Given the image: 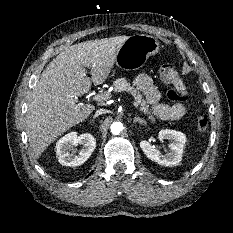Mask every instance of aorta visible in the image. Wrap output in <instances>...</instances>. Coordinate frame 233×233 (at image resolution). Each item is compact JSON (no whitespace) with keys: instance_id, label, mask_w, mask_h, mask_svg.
<instances>
[{"instance_id":"762f6f07","label":"aorta","mask_w":233,"mask_h":233,"mask_svg":"<svg viewBox=\"0 0 233 233\" xmlns=\"http://www.w3.org/2000/svg\"><path fill=\"white\" fill-rule=\"evenodd\" d=\"M111 133L114 134V135H118L122 129H123V125L121 122H113L112 125H111Z\"/></svg>"}]
</instances>
